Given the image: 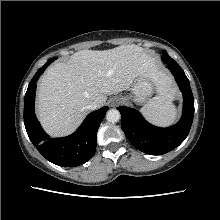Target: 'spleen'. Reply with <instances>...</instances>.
Instances as JSON below:
<instances>
[{
    "label": "spleen",
    "mask_w": 220,
    "mask_h": 220,
    "mask_svg": "<svg viewBox=\"0 0 220 220\" xmlns=\"http://www.w3.org/2000/svg\"><path fill=\"white\" fill-rule=\"evenodd\" d=\"M144 117L159 126L172 124L177 118V109L172 99L166 95H159L151 99L141 109Z\"/></svg>",
    "instance_id": "1"
}]
</instances>
